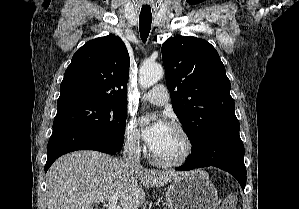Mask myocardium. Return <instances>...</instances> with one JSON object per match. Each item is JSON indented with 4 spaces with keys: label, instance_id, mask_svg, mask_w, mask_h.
Segmentation results:
<instances>
[{
    "label": "myocardium",
    "instance_id": "f54148a6",
    "mask_svg": "<svg viewBox=\"0 0 299 209\" xmlns=\"http://www.w3.org/2000/svg\"><path fill=\"white\" fill-rule=\"evenodd\" d=\"M169 127L174 129L175 131H177L182 136V138L185 141L186 147H185V150L182 153V155L175 159H162V158L158 157L157 155H155L154 152L152 151V149L150 148L149 156H150L151 160L155 164L162 166V167H176V166L183 165L192 157V155L195 151L194 140H193L191 134L188 132V130L184 126H182L179 123H171L169 125Z\"/></svg>",
    "mask_w": 299,
    "mask_h": 209
}]
</instances>
